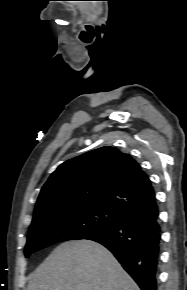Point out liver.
Here are the masks:
<instances>
[{
	"label": "liver",
	"mask_w": 187,
	"mask_h": 290,
	"mask_svg": "<svg viewBox=\"0 0 187 290\" xmlns=\"http://www.w3.org/2000/svg\"><path fill=\"white\" fill-rule=\"evenodd\" d=\"M27 290H140L104 246L90 240L57 246L29 276Z\"/></svg>",
	"instance_id": "1"
}]
</instances>
